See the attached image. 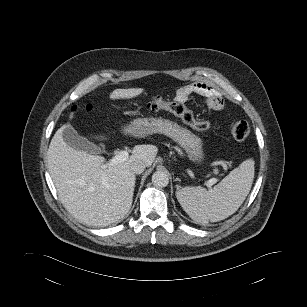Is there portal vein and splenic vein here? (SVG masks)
Masks as SVG:
<instances>
[{
	"label": "portal vein and splenic vein",
	"instance_id": "1",
	"mask_svg": "<svg viewBox=\"0 0 307 307\" xmlns=\"http://www.w3.org/2000/svg\"><path fill=\"white\" fill-rule=\"evenodd\" d=\"M129 157V153L126 150H120L117 154H115L108 162V165L119 164L125 161ZM216 173V169L214 170ZM216 179L212 178L207 181V187L211 188L213 184L216 183Z\"/></svg>",
	"mask_w": 307,
	"mask_h": 307
}]
</instances>
